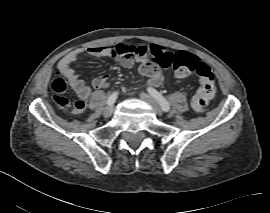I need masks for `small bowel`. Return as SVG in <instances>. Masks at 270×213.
<instances>
[{"label":"small bowel","instance_id":"c3829d8e","mask_svg":"<svg viewBox=\"0 0 270 213\" xmlns=\"http://www.w3.org/2000/svg\"><path fill=\"white\" fill-rule=\"evenodd\" d=\"M152 51L154 55L161 54L162 56H167L170 60H172L174 54H176L168 47L161 45H153ZM82 54H87L98 59H113L118 61L125 68L132 67L135 62L134 58L131 56L122 57L117 55L112 46H92L84 50H74L67 53L58 64L59 77L56 80L60 81L62 91H65L67 86L74 89L80 101L83 103L89 100L94 91L108 85L109 76L101 75L95 78L90 85L86 84L72 67V64ZM139 73L150 78L147 86H159L162 82V70L161 67L157 65L142 63L139 67ZM81 111L82 110H76L74 112L79 113Z\"/></svg>","mask_w":270,"mask_h":213}]
</instances>
